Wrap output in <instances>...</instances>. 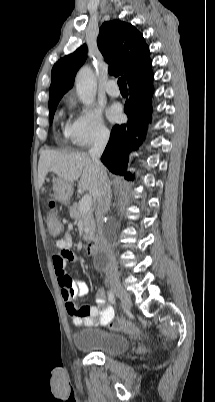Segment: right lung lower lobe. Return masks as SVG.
<instances>
[{"instance_id":"right-lung-lower-lobe-1","label":"right lung lower lobe","mask_w":215,"mask_h":402,"mask_svg":"<svg viewBox=\"0 0 215 402\" xmlns=\"http://www.w3.org/2000/svg\"><path fill=\"white\" fill-rule=\"evenodd\" d=\"M152 80L153 73L129 84L130 98L124 107L128 122L113 127L101 157V161L115 174L123 175L126 172L128 154L142 143L148 122H151V96L154 91ZM125 178L133 179V175L125 173Z\"/></svg>"}]
</instances>
